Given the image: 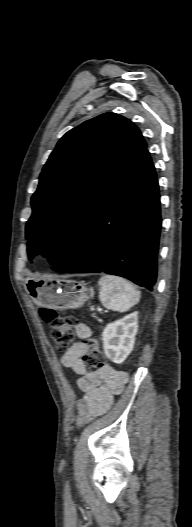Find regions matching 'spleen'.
Here are the masks:
<instances>
[{
    "mask_svg": "<svg viewBox=\"0 0 192 527\" xmlns=\"http://www.w3.org/2000/svg\"><path fill=\"white\" fill-rule=\"evenodd\" d=\"M99 285L100 302L108 309L125 312L139 302L140 291L121 277L103 275Z\"/></svg>",
    "mask_w": 192,
    "mask_h": 527,
    "instance_id": "3e777b00",
    "label": "spleen"
}]
</instances>
